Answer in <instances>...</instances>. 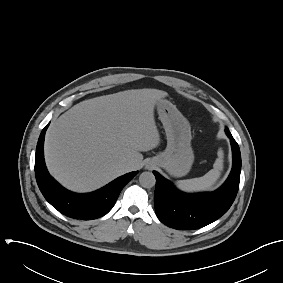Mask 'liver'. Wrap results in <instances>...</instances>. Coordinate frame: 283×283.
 Listing matches in <instances>:
<instances>
[{
  "label": "liver",
  "mask_w": 283,
  "mask_h": 283,
  "mask_svg": "<svg viewBox=\"0 0 283 283\" xmlns=\"http://www.w3.org/2000/svg\"><path fill=\"white\" fill-rule=\"evenodd\" d=\"M157 89H132L84 100L53 121L45 137L49 172L66 188L90 192L140 168L160 143L154 108L166 97Z\"/></svg>",
  "instance_id": "6515ba94"
}]
</instances>
